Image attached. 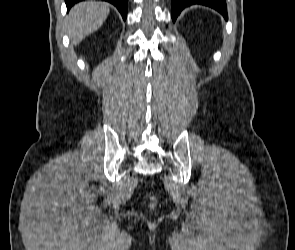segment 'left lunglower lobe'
<instances>
[{"label": "left lung lower lobe", "mask_w": 295, "mask_h": 250, "mask_svg": "<svg viewBox=\"0 0 295 250\" xmlns=\"http://www.w3.org/2000/svg\"><path fill=\"white\" fill-rule=\"evenodd\" d=\"M172 2V20H176L180 12L185 8L193 4H202L214 8L220 12L227 20V7L225 0H171Z\"/></svg>", "instance_id": "obj_1"}]
</instances>
